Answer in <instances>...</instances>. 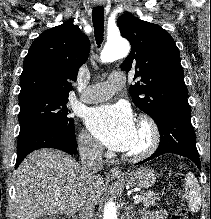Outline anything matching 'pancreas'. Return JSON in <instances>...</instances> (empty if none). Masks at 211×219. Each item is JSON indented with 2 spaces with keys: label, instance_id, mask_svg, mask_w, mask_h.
Here are the masks:
<instances>
[{
  "label": "pancreas",
  "instance_id": "obj_1",
  "mask_svg": "<svg viewBox=\"0 0 211 219\" xmlns=\"http://www.w3.org/2000/svg\"><path fill=\"white\" fill-rule=\"evenodd\" d=\"M144 197L141 199V202L146 208L155 206L157 204V201L160 200V196L158 193L154 192H147L143 193Z\"/></svg>",
  "mask_w": 211,
  "mask_h": 219
}]
</instances>
